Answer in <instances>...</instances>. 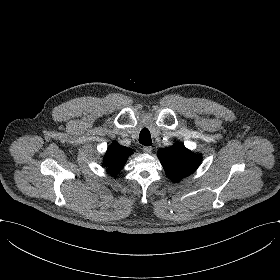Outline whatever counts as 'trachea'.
Returning a JSON list of instances; mask_svg holds the SVG:
<instances>
[{
    "label": "trachea",
    "mask_w": 280,
    "mask_h": 280,
    "mask_svg": "<svg viewBox=\"0 0 280 280\" xmlns=\"http://www.w3.org/2000/svg\"><path fill=\"white\" fill-rule=\"evenodd\" d=\"M139 142L142 145H151L152 144V140H151V136H150V132L147 128H143L139 134Z\"/></svg>",
    "instance_id": "trachea-1"
}]
</instances>
